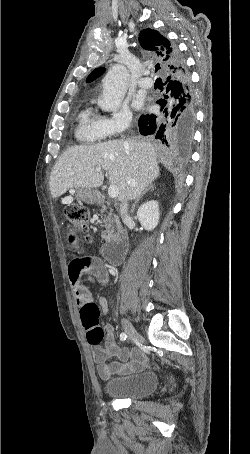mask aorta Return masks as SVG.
Returning <instances> with one entry per match:
<instances>
[{
    "label": "aorta",
    "instance_id": "762f6f07",
    "mask_svg": "<svg viewBox=\"0 0 250 454\" xmlns=\"http://www.w3.org/2000/svg\"><path fill=\"white\" fill-rule=\"evenodd\" d=\"M129 72L125 66L116 64L107 72L103 80V93L98 105L104 111H116L127 92Z\"/></svg>",
    "mask_w": 250,
    "mask_h": 454
}]
</instances>
